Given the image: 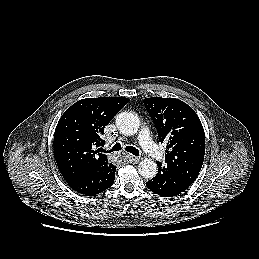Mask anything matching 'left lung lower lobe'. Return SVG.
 Listing matches in <instances>:
<instances>
[{
	"mask_svg": "<svg viewBox=\"0 0 259 259\" xmlns=\"http://www.w3.org/2000/svg\"><path fill=\"white\" fill-rule=\"evenodd\" d=\"M158 173L146 182V186L155 194L163 197H173L181 194L192 184L169 167L157 162Z\"/></svg>",
	"mask_w": 259,
	"mask_h": 259,
	"instance_id": "0a47b994",
	"label": "left lung lower lobe"
}]
</instances>
